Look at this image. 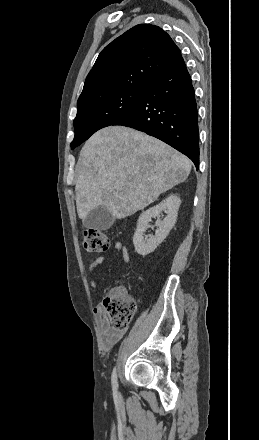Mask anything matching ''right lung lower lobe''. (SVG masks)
Returning <instances> with one entry per match:
<instances>
[{"label":"right lung lower lobe","mask_w":259,"mask_h":440,"mask_svg":"<svg viewBox=\"0 0 259 440\" xmlns=\"http://www.w3.org/2000/svg\"><path fill=\"white\" fill-rule=\"evenodd\" d=\"M112 125L154 136L188 156L199 167L195 92L183 58L157 78L139 103Z\"/></svg>","instance_id":"right-lung-lower-lobe-1"}]
</instances>
